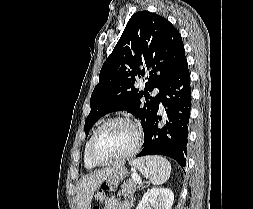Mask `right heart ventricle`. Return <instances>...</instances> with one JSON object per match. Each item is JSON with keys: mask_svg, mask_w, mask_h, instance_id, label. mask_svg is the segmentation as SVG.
<instances>
[{"mask_svg": "<svg viewBox=\"0 0 253 209\" xmlns=\"http://www.w3.org/2000/svg\"><path fill=\"white\" fill-rule=\"evenodd\" d=\"M93 134H94V132H93ZM93 134L90 136V138L86 142L85 148H84V165L87 169L95 168V165L91 162L90 157H89V145H90V140H91Z\"/></svg>", "mask_w": 253, "mask_h": 209, "instance_id": "e07e8e85", "label": "right heart ventricle"}]
</instances>
